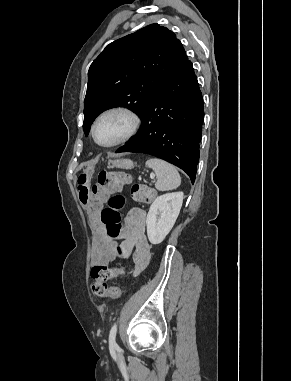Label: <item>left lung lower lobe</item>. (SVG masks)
<instances>
[{
  "mask_svg": "<svg viewBox=\"0 0 291 381\" xmlns=\"http://www.w3.org/2000/svg\"><path fill=\"white\" fill-rule=\"evenodd\" d=\"M139 132L120 152L146 153L170 162L195 181L204 120L203 98L187 56L147 101Z\"/></svg>",
  "mask_w": 291,
  "mask_h": 381,
  "instance_id": "left-lung-lower-lobe-1",
  "label": "left lung lower lobe"
}]
</instances>
